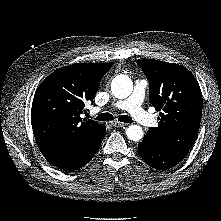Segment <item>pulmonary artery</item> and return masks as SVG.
I'll return each instance as SVG.
<instances>
[{
	"instance_id": "pulmonary-artery-1",
	"label": "pulmonary artery",
	"mask_w": 221,
	"mask_h": 221,
	"mask_svg": "<svg viewBox=\"0 0 221 221\" xmlns=\"http://www.w3.org/2000/svg\"><path fill=\"white\" fill-rule=\"evenodd\" d=\"M146 87V80H137L132 94L125 100L113 103L112 107L127 110L138 123L151 127L156 124V120L151 114L142 108Z\"/></svg>"
}]
</instances>
